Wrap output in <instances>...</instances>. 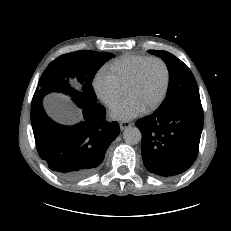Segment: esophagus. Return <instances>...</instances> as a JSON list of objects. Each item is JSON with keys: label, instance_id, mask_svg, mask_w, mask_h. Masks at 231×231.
I'll return each instance as SVG.
<instances>
[{"label": "esophagus", "instance_id": "obj_1", "mask_svg": "<svg viewBox=\"0 0 231 231\" xmlns=\"http://www.w3.org/2000/svg\"><path fill=\"white\" fill-rule=\"evenodd\" d=\"M132 125V123L128 122V121H123L119 123L120 129L124 130L128 127H130Z\"/></svg>", "mask_w": 231, "mask_h": 231}]
</instances>
